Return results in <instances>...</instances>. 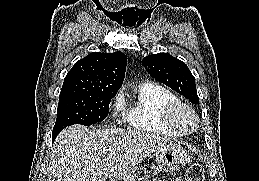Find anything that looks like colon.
Returning a JSON list of instances; mask_svg holds the SVG:
<instances>
[{"label":"colon","mask_w":259,"mask_h":181,"mask_svg":"<svg viewBox=\"0 0 259 181\" xmlns=\"http://www.w3.org/2000/svg\"><path fill=\"white\" fill-rule=\"evenodd\" d=\"M176 181H204V170L199 164L190 165L184 175Z\"/></svg>","instance_id":"1"}]
</instances>
